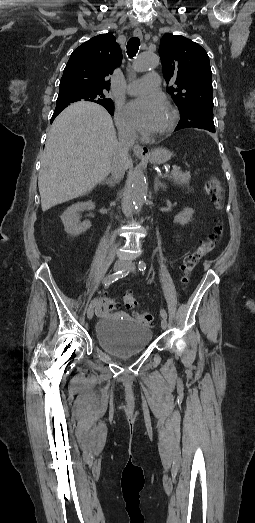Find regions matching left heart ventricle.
<instances>
[{
	"label": "left heart ventricle",
	"instance_id": "obj_1",
	"mask_svg": "<svg viewBox=\"0 0 255 523\" xmlns=\"http://www.w3.org/2000/svg\"><path fill=\"white\" fill-rule=\"evenodd\" d=\"M172 116L171 109L163 104L155 116L151 130L147 132V137L154 138L162 135L169 128Z\"/></svg>",
	"mask_w": 255,
	"mask_h": 523
}]
</instances>
